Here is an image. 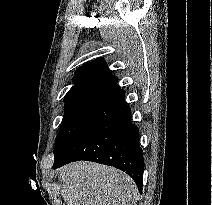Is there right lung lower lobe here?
Returning <instances> with one entry per match:
<instances>
[{
    "instance_id": "right-lung-lower-lobe-1",
    "label": "right lung lower lobe",
    "mask_w": 212,
    "mask_h": 205,
    "mask_svg": "<svg viewBox=\"0 0 212 205\" xmlns=\"http://www.w3.org/2000/svg\"><path fill=\"white\" fill-rule=\"evenodd\" d=\"M130 116L124 90L113 85L101 96L95 111L66 149L54 159L53 168L79 160L114 166L132 177L141 192L144 158L139 130Z\"/></svg>"
}]
</instances>
